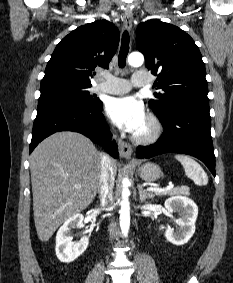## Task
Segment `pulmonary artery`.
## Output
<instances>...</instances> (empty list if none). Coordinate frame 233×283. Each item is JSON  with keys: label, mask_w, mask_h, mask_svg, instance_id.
Segmentation results:
<instances>
[{"label": "pulmonary artery", "mask_w": 233, "mask_h": 283, "mask_svg": "<svg viewBox=\"0 0 233 283\" xmlns=\"http://www.w3.org/2000/svg\"><path fill=\"white\" fill-rule=\"evenodd\" d=\"M104 82L100 83L96 90L108 94H125L134 87H142L149 84L150 80L146 74L135 72L131 80H126L113 76L111 74H103Z\"/></svg>", "instance_id": "obj_1"}]
</instances>
